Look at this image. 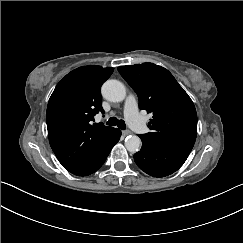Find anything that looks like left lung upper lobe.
I'll list each match as a JSON object with an SVG mask.
<instances>
[{
	"label": "left lung upper lobe",
	"instance_id": "5c2ea615",
	"mask_svg": "<svg viewBox=\"0 0 243 243\" xmlns=\"http://www.w3.org/2000/svg\"><path fill=\"white\" fill-rule=\"evenodd\" d=\"M118 71L137 93L140 109L153 114L148 123L152 131L139 137L190 152L197 135V113L173 75L153 63L120 66Z\"/></svg>",
	"mask_w": 243,
	"mask_h": 243
}]
</instances>
